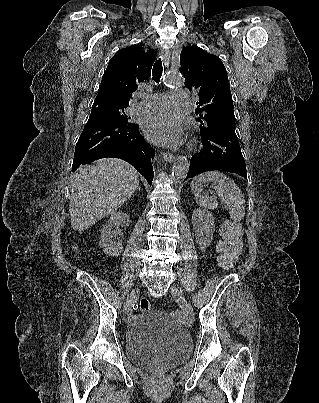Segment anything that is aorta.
Returning <instances> with one entry per match:
<instances>
[{
	"instance_id": "obj_1",
	"label": "aorta",
	"mask_w": 319,
	"mask_h": 403,
	"mask_svg": "<svg viewBox=\"0 0 319 403\" xmlns=\"http://www.w3.org/2000/svg\"><path fill=\"white\" fill-rule=\"evenodd\" d=\"M164 82L168 86L178 87L182 84V79L177 74H168ZM189 170V162L187 157L179 156L172 168V179L174 183H181L187 176Z\"/></svg>"
}]
</instances>
